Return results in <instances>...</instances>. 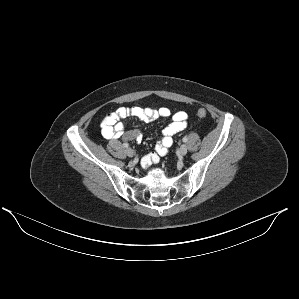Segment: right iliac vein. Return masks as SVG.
Wrapping results in <instances>:
<instances>
[{"mask_svg":"<svg viewBox=\"0 0 299 299\" xmlns=\"http://www.w3.org/2000/svg\"><path fill=\"white\" fill-rule=\"evenodd\" d=\"M126 154L129 157H133L135 153H134V151L131 148H127L126 149Z\"/></svg>","mask_w":299,"mask_h":299,"instance_id":"right-iliac-vein-1","label":"right iliac vein"}]
</instances>
